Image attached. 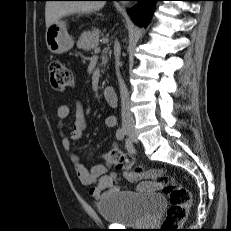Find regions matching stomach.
<instances>
[{"instance_id": "stomach-1", "label": "stomach", "mask_w": 231, "mask_h": 231, "mask_svg": "<svg viewBox=\"0 0 231 231\" xmlns=\"http://www.w3.org/2000/svg\"><path fill=\"white\" fill-rule=\"evenodd\" d=\"M46 45L49 51L55 54H62L74 45L73 38L68 34L66 21L58 20L46 30Z\"/></svg>"}]
</instances>
